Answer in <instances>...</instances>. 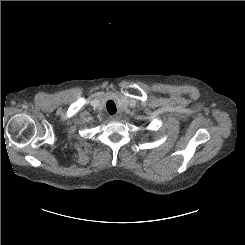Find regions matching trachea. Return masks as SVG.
<instances>
[{"mask_svg":"<svg viewBox=\"0 0 245 245\" xmlns=\"http://www.w3.org/2000/svg\"><path fill=\"white\" fill-rule=\"evenodd\" d=\"M107 110L109 112V114H114L116 111V107H115V103L113 101H108L106 104Z\"/></svg>","mask_w":245,"mask_h":245,"instance_id":"obj_1","label":"trachea"}]
</instances>
